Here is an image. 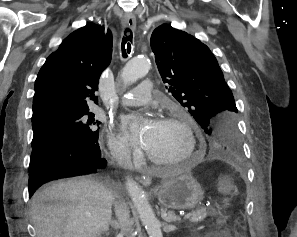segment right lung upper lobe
I'll use <instances>...</instances> for the list:
<instances>
[{
	"mask_svg": "<svg viewBox=\"0 0 297 237\" xmlns=\"http://www.w3.org/2000/svg\"><path fill=\"white\" fill-rule=\"evenodd\" d=\"M112 55V34L89 23L70 34L40 69L35 81L32 121L59 112H88L87 99L97 103L101 73Z\"/></svg>",
	"mask_w": 297,
	"mask_h": 237,
	"instance_id": "right-lung-upper-lobe-1",
	"label": "right lung upper lobe"
}]
</instances>
